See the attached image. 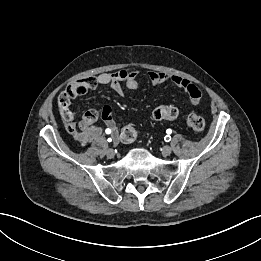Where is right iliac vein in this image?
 Returning a JSON list of instances; mask_svg holds the SVG:
<instances>
[{
	"instance_id": "1",
	"label": "right iliac vein",
	"mask_w": 261,
	"mask_h": 261,
	"mask_svg": "<svg viewBox=\"0 0 261 261\" xmlns=\"http://www.w3.org/2000/svg\"><path fill=\"white\" fill-rule=\"evenodd\" d=\"M106 155L108 158H113L115 156L114 150L113 149H108L106 152Z\"/></svg>"
}]
</instances>
